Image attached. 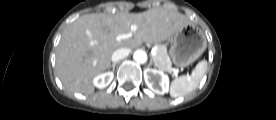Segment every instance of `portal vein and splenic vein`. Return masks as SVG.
<instances>
[{"instance_id": "portal-vein-and-splenic-vein-1", "label": "portal vein and splenic vein", "mask_w": 276, "mask_h": 120, "mask_svg": "<svg viewBox=\"0 0 276 120\" xmlns=\"http://www.w3.org/2000/svg\"><path fill=\"white\" fill-rule=\"evenodd\" d=\"M136 30H137V26H136V25H132V26H131V31H132V32L127 33V34H120V35H118V36L116 37V40H117V41H121V40H124V39L131 38V37L133 36V33H134ZM151 54H152L153 57H155V56H156V51L152 50V51H151ZM167 71H168V72H174L175 75H177L178 72H179V71H178L177 69H175V68H170V69H168Z\"/></svg>"}]
</instances>
